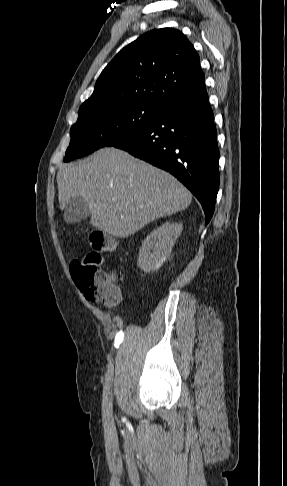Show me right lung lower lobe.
<instances>
[{
    "instance_id": "98d812e1",
    "label": "right lung lower lobe",
    "mask_w": 287,
    "mask_h": 486,
    "mask_svg": "<svg viewBox=\"0 0 287 486\" xmlns=\"http://www.w3.org/2000/svg\"><path fill=\"white\" fill-rule=\"evenodd\" d=\"M114 147L174 175L201 203L205 223L210 221L219 189V150L206 88L165 106L144 131Z\"/></svg>"
}]
</instances>
